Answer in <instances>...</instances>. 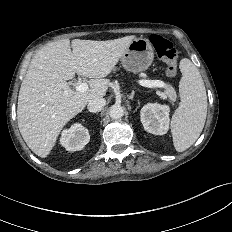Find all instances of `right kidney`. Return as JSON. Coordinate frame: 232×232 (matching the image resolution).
Wrapping results in <instances>:
<instances>
[{
  "mask_svg": "<svg viewBox=\"0 0 232 232\" xmlns=\"http://www.w3.org/2000/svg\"><path fill=\"white\" fill-rule=\"evenodd\" d=\"M90 135L88 129L79 123L72 125L62 132L60 143L68 151L82 150L89 143Z\"/></svg>",
  "mask_w": 232,
  "mask_h": 232,
  "instance_id": "ca27d5eb",
  "label": "right kidney"
}]
</instances>
